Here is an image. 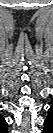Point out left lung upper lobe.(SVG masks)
Segmentation results:
<instances>
[{
  "label": "left lung upper lobe",
  "mask_w": 53,
  "mask_h": 133,
  "mask_svg": "<svg viewBox=\"0 0 53 133\" xmlns=\"http://www.w3.org/2000/svg\"><path fill=\"white\" fill-rule=\"evenodd\" d=\"M52 123V109L50 108L48 117L46 118L44 124L45 126H48Z\"/></svg>",
  "instance_id": "left-lung-upper-lobe-1"
}]
</instances>
